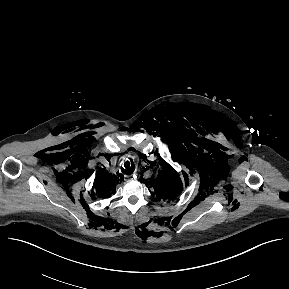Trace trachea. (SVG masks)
Returning <instances> with one entry per match:
<instances>
[{"instance_id": "trachea-1", "label": "trachea", "mask_w": 289, "mask_h": 289, "mask_svg": "<svg viewBox=\"0 0 289 289\" xmlns=\"http://www.w3.org/2000/svg\"><path fill=\"white\" fill-rule=\"evenodd\" d=\"M124 167H125V169L122 168V172L124 174H127V175L132 174L134 169H135V166H134V163L132 162V160L131 161H126L124 163Z\"/></svg>"}]
</instances>
